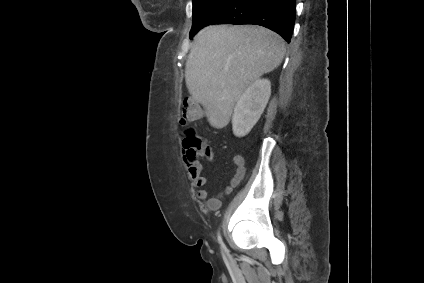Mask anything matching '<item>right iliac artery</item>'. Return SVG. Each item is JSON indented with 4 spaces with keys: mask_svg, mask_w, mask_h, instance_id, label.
Listing matches in <instances>:
<instances>
[{
    "mask_svg": "<svg viewBox=\"0 0 424 283\" xmlns=\"http://www.w3.org/2000/svg\"><path fill=\"white\" fill-rule=\"evenodd\" d=\"M218 242H219V244H220V246H221L222 250H225V251H226V247H225V245H224V243H223V241H222V238H221V236H220V234H219V233H218Z\"/></svg>",
    "mask_w": 424,
    "mask_h": 283,
    "instance_id": "obj_1",
    "label": "right iliac artery"
}]
</instances>
